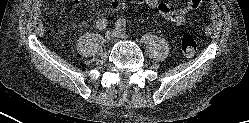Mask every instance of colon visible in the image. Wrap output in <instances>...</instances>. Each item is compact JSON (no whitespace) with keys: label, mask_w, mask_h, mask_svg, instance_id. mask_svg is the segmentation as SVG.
<instances>
[{"label":"colon","mask_w":249,"mask_h":123,"mask_svg":"<svg viewBox=\"0 0 249 123\" xmlns=\"http://www.w3.org/2000/svg\"><path fill=\"white\" fill-rule=\"evenodd\" d=\"M197 50V42L191 34H185L181 38V51L184 56L192 57Z\"/></svg>","instance_id":"5ec220e1"}]
</instances>
